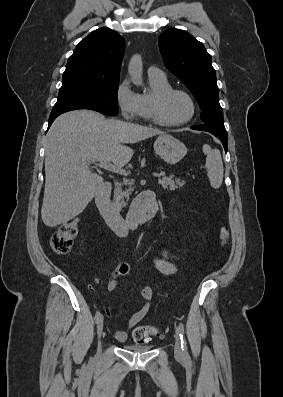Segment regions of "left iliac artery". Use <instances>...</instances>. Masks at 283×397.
Wrapping results in <instances>:
<instances>
[{"label":"left iliac artery","instance_id":"1","mask_svg":"<svg viewBox=\"0 0 283 397\" xmlns=\"http://www.w3.org/2000/svg\"><path fill=\"white\" fill-rule=\"evenodd\" d=\"M177 331H178L180 339H181V348H182L184 358L186 360H190L189 355H188L187 342H186V338H185V331H184L183 325L179 324Z\"/></svg>","mask_w":283,"mask_h":397}]
</instances>
